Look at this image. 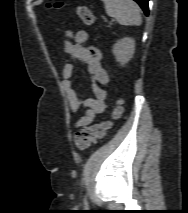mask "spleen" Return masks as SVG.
<instances>
[{"mask_svg":"<svg viewBox=\"0 0 188 213\" xmlns=\"http://www.w3.org/2000/svg\"><path fill=\"white\" fill-rule=\"evenodd\" d=\"M106 13L122 25L139 26L142 22L140 7L133 0H102Z\"/></svg>","mask_w":188,"mask_h":213,"instance_id":"1","label":"spleen"}]
</instances>
